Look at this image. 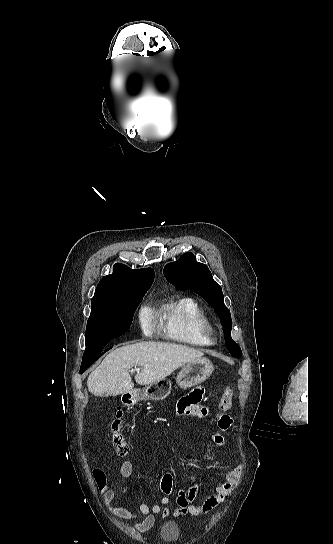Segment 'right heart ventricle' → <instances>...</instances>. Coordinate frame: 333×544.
Here are the masks:
<instances>
[{
    "label": "right heart ventricle",
    "instance_id": "e07e8e85",
    "mask_svg": "<svg viewBox=\"0 0 333 544\" xmlns=\"http://www.w3.org/2000/svg\"><path fill=\"white\" fill-rule=\"evenodd\" d=\"M160 321L165 335L175 341L208 346L214 343L213 329L204 309L185 297L163 305Z\"/></svg>",
    "mask_w": 333,
    "mask_h": 544
}]
</instances>
